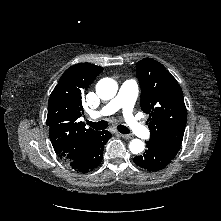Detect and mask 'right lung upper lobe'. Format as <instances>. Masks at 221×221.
I'll return each mask as SVG.
<instances>
[{"mask_svg":"<svg viewBox=\"0 0 221 221\" xmlns=\"http://www.w3.org/2000/svg\"><path fill=\"white\" fill-rule=\"evenodd\" d=\"M102 71L94 64H75L64 72L50 95L46 124L53 148L65 162L83 158L99 133L86 129L78 119L83 113V92Z\"/></svg>","mask_w":221,"mask_h":221,"instance_id":"obj_1","label":"right lung upper lobe"}]
</instances>
